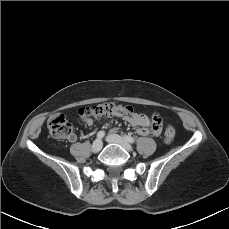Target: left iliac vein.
Returning a JSON list of instances; mask_svg holds the SVG:
<instances>
[{
	"label": "left iliac vein",
	"instance_id": "obj_1",
	"mask_svg": "<svg viewBox=\"0 0 229 229\" xmlns=\"http://www.w3.org/2000/svg\"><path fill=\"white\" fill-rule=\"evenodd\" d=\"M108 143H115L121 145L127 151H132V146L122 137L116 134H110L106 137Z\"/></svg>",
	"mask_w": 229,
	"mask_h": 229
}]
</instances>
